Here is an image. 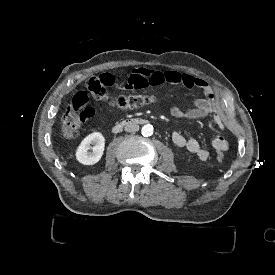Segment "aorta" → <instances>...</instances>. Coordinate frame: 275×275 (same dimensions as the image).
Listing matches in <instances>:
<instances>
[{
  "label": "aorta",
  "mask_w": 275,
  "mask_h": 275,
  "mask_svg": "<svg viewBox=\"0 0 275 275\" xmlns=\"http://www.w3.org/2000/svg\"><path fill=\"white\" fill-rule=\"evenodd\" d=\"M153 126L151 124H146L141 128V134L144 137H149L153 134Z\"/></svg>",
  "instance_id": "762f6f07"
}]
</instances>
